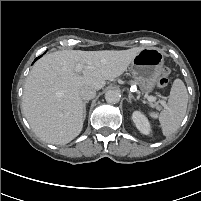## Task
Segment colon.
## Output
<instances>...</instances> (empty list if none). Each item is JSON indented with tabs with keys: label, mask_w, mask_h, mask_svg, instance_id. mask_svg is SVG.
<instances>
[{
	"label": "colon",
	"mask_w": 201,
	"mask_h": 201,
	"mask_svg": "<svg viewBox=\"0 0 201 201\" xmlns=\"http://www.w3.org/2000/svg\"><path fill=\"white\" fill-rule=\"evenodd\" d=\"M169 74H170V70L168 68H165L162 72L161 77L159 78L158 82H157V86L159 88H165L168 83H169Z\"/></svg>",
	"instance_id": "obj_1"
}]
</instances>
